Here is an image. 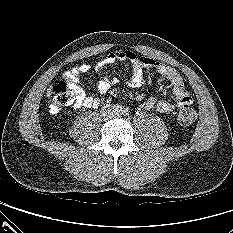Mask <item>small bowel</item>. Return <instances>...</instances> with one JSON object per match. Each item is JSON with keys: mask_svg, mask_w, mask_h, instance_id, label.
I'll return each mask as SVG.
<instances>
[{"mask_svg": "<svg viewBox=\"0 0 233 233\" xmlns=\"http://www.w3.org/2000/svg\"><path fill=\"white\" fill-rule=\"evenodd\" d=\"M119 62H129L131 65V76L127 81V85L131 88H139L143 85L144 69L146 68L155 69L171 84L175 102L148 99L142 105L144 109L151 110L155 108L159 113L165 114L185 104H192V97L185 89L181 75L174 68L149 57H140L136 53L125 49L110 52L95 66V71L99 74L97 89L100 93H107L118 82L116 77H110L105 74L104 69ZM91 70L89 64H81L64 74V79L76 94L74 102L75 108L86 107L95 109L101 103L99 98L86 94L80 85V76L89 74Z\"/></svg>", "mask_w": 233, "mask_h": 233, "instance_id": "1", "label": "small bowel"}]
</instances>
